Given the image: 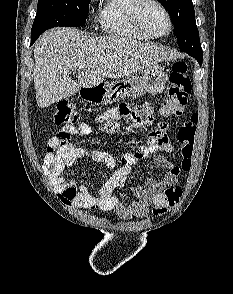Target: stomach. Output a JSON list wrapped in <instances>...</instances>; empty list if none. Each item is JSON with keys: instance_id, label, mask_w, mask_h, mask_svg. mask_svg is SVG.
<instances>
[{"instance_id": "1", "label": "stomach", "mask_w": 233, "mask_h": 294, "mask_svg": "<svg viewBox=\"0 0 233 294\" xmlns=\"http://www.w3.org/2000/svg\"><path fill=\"white\" fill-rule=\"evenodd\" d=\"M167 78L163 67L152 65L145 68L141 75L103 83L100 88L85 90L81 95L96 103L112 104L127 97H141L146 93L157 95L165 89Z\"/></svg>"}]
</instances>
